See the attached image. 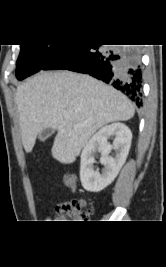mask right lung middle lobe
Wrapping results in <instances>:
<instances>
[{
  "instance_id": "obj_1",
  "label": "right lung middle lobe",
  "mask_w": 166,
  "mask_h": 267,
  "mask_svg": "<svg viewBox=\"0 0 166 267\" xmlns=\"http://www.w3.org/2000/svg\"><path fill=\"white\" fill-rule=\"evenodd\" d=\"M63 47L59 44L21 45L16 63V77L23 80L40 71Z\"/></svg>"
}]
</instances>
